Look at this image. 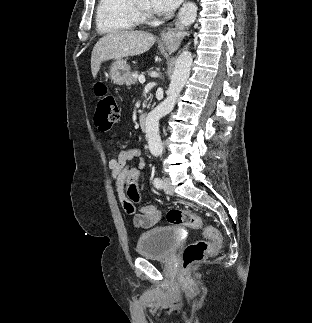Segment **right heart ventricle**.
<instances>
[{
  "label": "right heart ventricle",
  "mask_w": 312,
  "mask_h": 323,
  "mask_svg": "<svg viewBox=\"0 0 312 323\" xmlns=\"http://www.w3.org/2000/svg\"><path fill=\"white\" fill-rule=\"evenodd\" d=\"M143 13H137L123 0H99L94 10L95 29L101 33H116V29H131L143 20Z\"/></svg>",
  "instance_id": "obj_1"
}]
</instances>
